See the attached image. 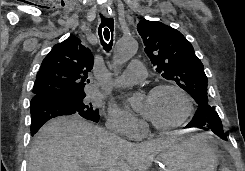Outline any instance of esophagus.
Wrapping results in <instances>:
<instances>
[{
	"label": "esophagus",
	"mask_w": 245,
	"mask_h": 171,
	"mask_svg": "<svg viewBox=\"0 0 245 171\" xmlns=\"http://www.w3.org/2000/svg\"><path fill=\"white\" fill-rule=\"evenodd\" d=\"M100 11L105 16L112 15L111 9L107 6H101Z\"/></svg>",
	"instance_id": "34e87169"
}]
</instances>
